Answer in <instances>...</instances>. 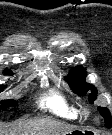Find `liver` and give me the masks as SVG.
I'll list each match as a JSON object with an SVG mask.
<instances>
[{"label": "liver", "instance_id": "1", "mask_svg": "<svg viewBox=\"0 0 112 135\" xmlns=\"http://www.w3.org/2000/svg\"><path fill=\"white\" fill-rule=\"evenodd\" d=\"M71 130L59 122L38 119L20 124L13 135H65Z\"/></svg>", "mask_w": 112, "mask_h": 135}]
</instances>
